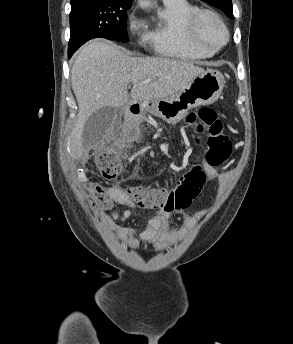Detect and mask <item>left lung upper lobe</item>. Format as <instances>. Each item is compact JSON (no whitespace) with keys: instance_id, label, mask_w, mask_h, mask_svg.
Returning <instances> with one entry per match:
<instances>
[{"instance_id":"1","label":"left lung upper lobe","mask_w":293,"mask_h":344,"mask_svg":"<svg viewBox=\"0 0 293 344\" xmlns=\"http://www.w3.org/2000/svg\"><path fill=\"white\" fill-rule=\"evenodd\" d=\"M208 4L217 7L224 11V13L229 17L233 18V11H232V1L231 0H203Z\"/></svg>"}]
</instances>
